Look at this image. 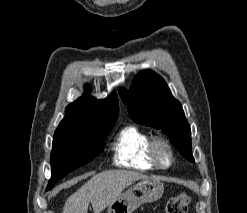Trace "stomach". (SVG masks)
Instances as JSON below:
<instances>
[{
    "label": "stomach",
    "instance_id": "stomach-1",
    "mask_svg": "<svg viewBox=\"0 0 247 213\" xmlns=\"http://www.w3.org/2000/svg\"><path fill=\"white\" fill-rule=\"evenodd\" d=\"M164 192V185L157 178H145L129 187L112 204L107 213H132L144 203L159 200Z\"/></svg>",
    "mask_w": 247,
    "mask_h": 213
}]
</instances>
